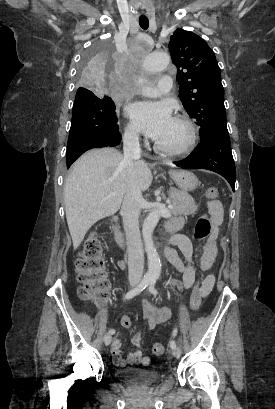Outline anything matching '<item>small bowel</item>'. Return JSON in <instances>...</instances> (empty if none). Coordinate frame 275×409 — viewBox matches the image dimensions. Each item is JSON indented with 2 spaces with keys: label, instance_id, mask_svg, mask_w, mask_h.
<instances>
[{
  "label": "small bowel",
  "instance_id": "small-bowel-1",
  "mask_svg": "<svg viewBox=\"0 0 275 409\" xmlns=\"http://www.w3.org/2000/svg\"><path fill=\"white\" fill-rule=\"evenodd\" d=\"M209 214L212 221L211 234L202 248V253L199 260V266L202 271H208L216 258L217 246L216 239L219 232V227L223 219V209L219 202H206ZM178 221V220H177ZM171 243L177 246L182 253L185 262L181 260L176 250L169 247L166 257L171 265L182 275L181 282L171 281L169 287L176 289L179 292L192 288L195 283V269L192 265L193 261V246L190 239L183 234H175L171 238ZM215 278L213 275H208L204 282L203 287L206 290V295L212 290L214 286ZM139 309L142 317L145 321V327L147 329H154L157 325L166 322L170 317V310L165 306H156L147 301H142L139 304ZM121 319V326L123 328H131L133 321L128 316H123ZM135 344L140 345L142 341V333L137 332L133 338ZM111 354L113 361L117 366L124 367L129 364L140 363L142 365H148L150 359L148 357H142L139 351L129 353L126 357L121 354V343L118 339H115L111 346Z\"/></svg>",
  "mask_w": 275,
  "mask_h": 409
}]
</instances>
